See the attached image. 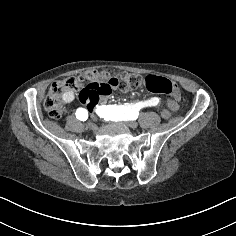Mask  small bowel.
<instances>
[{
	"label": "small bowel",
	"instance_id": "c3829d8e",
	"mask_svg": "<svg viewBox=\"0 0 236 236\" xmlns=\"http://www.w3.org/2000/svg\"><path fill=\"white\" fill-rule=\"evenodd\" d=\"M124 90L126 91L127 89H124ZM148 101H149V105H148L149 107L158 106L160 104V102H161L159 97H152V98L148 99ZM106 102H107V98L106 97H103L100 100L101 104H106ZM168 106L170 108H176V104L172 103L171 101L168 102Z\"/></svg>",
	"mask_w": 236,
	"mask_h": 236
}]
</instances>
